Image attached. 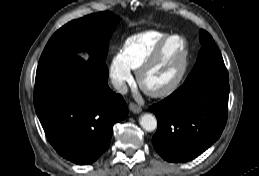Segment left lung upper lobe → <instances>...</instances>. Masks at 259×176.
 <instances>
[{"label": "left lung upper lobe", "mask_w": 259, "mask_h": 176, "mask_svg": "<svg viewBox=\"0 0 259 176\" xmlns=\"http://www.w3.org/2000/svg\"><path fill=\"white\" fill-rule=\"evenodd\" d=\"M199 40L202 47L199 51L197 61L184 83L208 75L228 78V72L222 55L212 36L205 30H200Z\"/></svg>", "instance_id": "1"}]
</instances>
